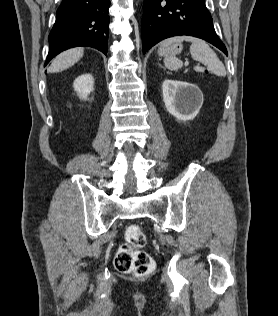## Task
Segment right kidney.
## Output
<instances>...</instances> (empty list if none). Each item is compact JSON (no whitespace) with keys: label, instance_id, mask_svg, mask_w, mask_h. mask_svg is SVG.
Returning <instances> with one entry per match:
<instances>
[{"label":"right kidney","instance_id":"obj_1","mask_svg":"<svg viewBox=\"0 0 278 316\" xmlns=\"http://www.w3.org/2000/svg\"><path fill=\"white\" fill-rule=\"evenodd\" d=\"M94 79L91 74H83L77 77L73 83L74 90L81 99L86 100L93 91Z\"/></svg>","mask_w":278,"mask_h":316}]
</instances>
